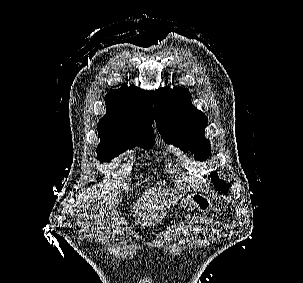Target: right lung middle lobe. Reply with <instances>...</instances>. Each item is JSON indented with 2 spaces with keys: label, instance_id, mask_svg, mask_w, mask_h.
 Returning a JSON list of instances; mask_svg holds the SVG:
<instances>
[{
  "label": "right lung middle lobe",
  "instance_id": "obj_1",
  "mask_svg": "<svg viewBox=\"0 0 303 283\" xmlns=\"http://www.w3.org/2000/svg\"><path fill=\"white\" fill-rule=\"evenodd\" d=\"M153 132V128L149 126L136 127L124 132H98L101 141L97 148V156L100 161L108 162L136 145L143 149L152 148L155 143Z\"/></svg>",
  "mask_w": 303,
  "mask_h": 283
}]
</instances>
